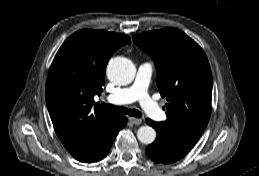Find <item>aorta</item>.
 <instances>
[{"instance_id": "1", "label": "aorta", "mask_w": 259, "mask_h": 176, "mask_svg": "<svg viewBox=\"0 0 259 176\" xmlns=\"http://www.w3.org/2000/svg\"><path fill=\"white\" fill-rule=\"evenodd\" d=\"M134 64L125 57H116L109 61L107 76L110 81L118 85H127L135 77ZM137 138L143 144H151L156 139V131L150 126H141L137 131Z\"/></svg>"}]
</instances>
